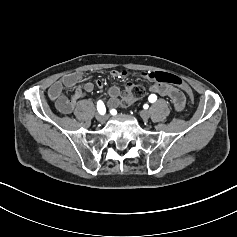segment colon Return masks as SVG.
I'll return each mask as SVG.
<instances>
[{
  "mask_svg": "<svg viewBox=\"0 0 237 237\" xmlns=\"http://www.w3.org/2000/svg\"><path fill=\"white\" fill-rule=\"evenodd\" d=\"M149 77L156 82L172 84L183 89L187 95L193 100V92L191 88L178 76L167 72H150ZM145 89L141 85H130L126 90V95L123 98L121 105L127 107L134 101L139 100L144 96Z\"/></svg>",
  "mask_w": 237,
  "mask_h": 237,
  "instance_id": "5ec220e1",
  "label": "colon"
}]
</instances>
